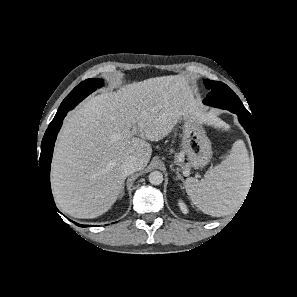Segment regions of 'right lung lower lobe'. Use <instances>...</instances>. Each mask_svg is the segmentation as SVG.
Masks as SVG:
<instances>
[{
  "mask_svg": "<svg viewBox=\"0 0 297 297\" xmlns=\"http://www.w3.org/2000/svg\"><path fill=\"white\" fill-rule=\"evenodd\" d=\"M67 112L59 114L58 117L55 119L53 124L49 125L48 129L46 130L42 143H41V153L40 158L37 162L39 163V169L41 174V179L43 182V187L45 188V193L48 195L50 202L56 208L53 196L51 193L50 187V164L52 160L54 142L56 140L57 134L61 128L63 118L65 117ZM57 209V208H56ZM82 227H87L88 225H79Z\"/></svg>",
  "mask_w": 297,
  "mask_h": 297,
  "instance_id": "98d812e1",
  "label": "right lung lower lobe"
}]
</instances>
